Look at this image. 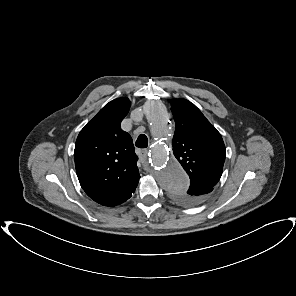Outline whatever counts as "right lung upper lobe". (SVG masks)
Here are the masks:
<instances>
[{"instance_id": "obj_1", "label": "right lung upper lobe", "mask_w": 296, "mask_h": 296, "mask_svg": "<svg viewBox=\"0 0 296 296\" xmlns=\"http://www.w3.org/2000/svg\"><path fill=\"white\" fill-rule=\"evenodd\" d=\"M129 109L128 98L109 102L76 140L74 159L81 187L104 206L128 200L140 179L132 138L120 126Z\"/></svg>"}]
</instances>
